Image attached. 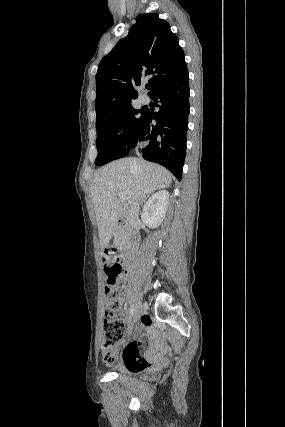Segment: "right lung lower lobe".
Returning a JSON list of instances; mask_svg holds the SVG:
<instances>
[{
  "label": "right lung lower lobe",
  "mask_w": 285,
  "mask_h": 427,
  "mask_svg": "<svg viewBox=\"0 0 285 427\" xmlns=\"http://www.w3.org/2000/svg\"><path fill=\"white\" fill-rule=\"evenodd\" d=\"M189 76L185 71L175 81L157 89L150 97L159 111L145 112L146 116L137 145L142 156L159 163L180 181L186 155V135L189 115ZM152 119L156 125H152ZM146 142L144 145H142Z\"/></svg>",
  "instance_id": "98d812e1"
}]
</instances>
